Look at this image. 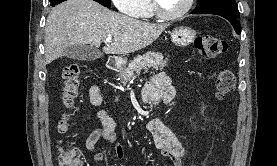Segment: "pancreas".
Wrapping results in <instances>:
<instances>
[{
  "label": "pancreas",
  "mask_w": 277,
  "mask_h": 166,
  "mask_svg": "<svg viewBox=\"0 0 277 166\" xmlns=\"http://www.w3.org/2000/svg\"><path fill=\"white\" fill-rule=\"evenodd\" d=\"M167 62L168 58L164 59L163 55L158 52H147L142 56L139 55L126 68L120 70L121 83L126 85L134 80L141 73V70L145 72L162 70L167 66ZM116 101H118V97Z\"/></svg>",
  "instance_id": "1"
}]
</instances>
